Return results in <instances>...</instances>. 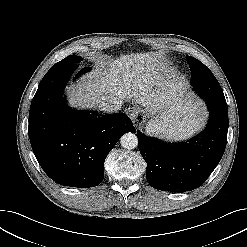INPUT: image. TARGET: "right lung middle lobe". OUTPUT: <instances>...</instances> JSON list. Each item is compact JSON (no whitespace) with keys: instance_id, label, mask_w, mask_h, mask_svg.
Instances as JSON below:
<instances>
[{"instance_id":"obj_1","label":"right lung middle lobe","mask_w":247,"mask_h":247,"mask_svg":"<svg viewBox=\"0 0 247 247\" xmlns=\"http://www.w3.org/2000/svg\"><path fill=\"white\" fill-rule=\"evenodd\" d=\"M80 61H82L81 57L70 55L52 66L49 71H55L59 69L75 70L78 67L77 63H79Z\"/></svg>"}]
</instances>
